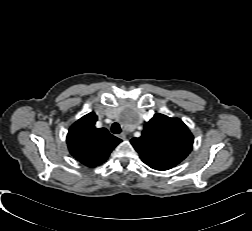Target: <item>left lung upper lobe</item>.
Returning <instances> with one entry per match:
<instances>
[{"instance_id": "1", "label": "left lung upper lobe", "mask_w": 252, "mask_h": 231, "mask_svg": "<svg viewBox=\"0 0 252 231\" xmlns=\"http://www.w3.org/2000/svg\"><path fill=\"white\" fill-rule=\"evenodd\" d=\"M131 144L151 168H172L192 150L193 135L180 119L155 114L145 124L141 137L133 138Z\"/></svg>"}]
</instances>
